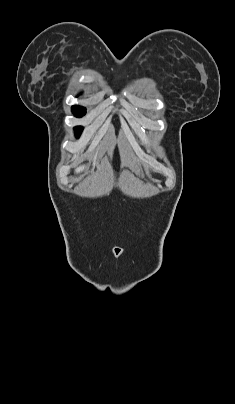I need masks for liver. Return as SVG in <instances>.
Segmentation results:
<instances>
[{
	"instance_id": "1",
	"label": "liver",
	"mask_w": 235,
	"mask_h": 404,
	"mask_svg": "<svg viewBox=\"0 0 235 404\" xmlns=\"http://www.w3.org/2000/svg\"><path fill=\"white\" fill-rule=\"evenodd\" d=\"M87 169H88V166L83 165V166L77 167V168L75 169V172H76V173H80V172H82V171H84V170H87Z\"/></svg>"
}]
</instances>
